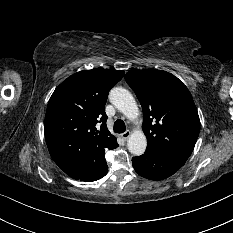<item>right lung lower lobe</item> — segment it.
Wrapping results in <instances>:
<instances>
[{
	"mask_svg": "<svg viewBox=\"0 0 233 233\" xmlns=\"http://www.w3.org/2000/svg\"><path fill=\"white\" fill-rule=\"evenodd\" d=\"M107 172H108V166L107 164H105L104 167L97 173H93L90 171H83V172H68L67 174L73 179L91 182L101 179L107 174Z\"/></svg>",
	"mask_w": 233,
	"mask_h": 233,
	"instance_id": "98d812e1",
	"label": "right lung lower lobe"
}]
</instances>
